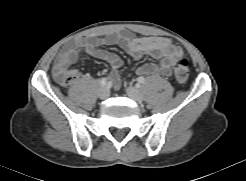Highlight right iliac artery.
Masks as SVG:
<instances>
[{
	"label": "right iliac artery",
	"instance_id": "1",
	"mask_svg": "<svg viewBox=\"0 0 246 181\" xmlns=\"http://www.w3.org/2000/svg\"><path fill=\"white\" fill-rule=\"evenodd\" d=\"M108 83V79L105 77L100 80V85L103 87L106 86Z\"/></svg>",
	"mask_w": 246,
	"mask_h": 181
}]
</instances>
